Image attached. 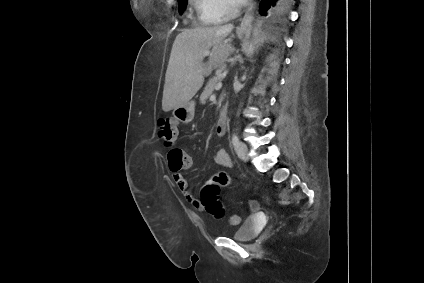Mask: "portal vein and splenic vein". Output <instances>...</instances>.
Returning <instances> with one entry per match:
<instances>
[{
	"instance_id": "1",
	"label": "portal vein and splenic vein",
	"mask_w": 424,
	"mask_h": 283,
	"mask_svg": "<svg viewBox=\"0 0 424 283\" xmlns=\"http://www.w3.org/2000/svg\"><path fill=\"white\" fill-rule=\"evenodd\" d=\"M204 56H208L209 55V51H204ZM222 87V83L221 82H218L216 85H215V90H219L220 88Z\"/></svg>"
}]
</instances>
